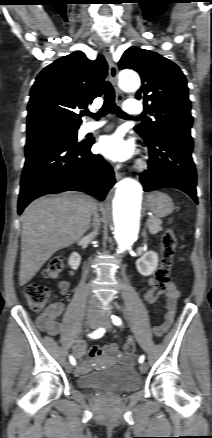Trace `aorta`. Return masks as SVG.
<instances>
[{"instance_id": "1", "label": "aorta", "mask_w": 212, "mask_h": 438, "mask_svg": "<svg viewBox=\"0 0 212 438\" xmlns=\"http://www.w3.org/2000/svg\"><path fill=\"white\" fill-rule=\"evenodd\" d=\"M119 79L125 91H136L140 86V78L135 72H121ZM142 192V186L137 180L126 178L119 182L111 200L112 233L118 243L117 254L129 250L138 238Z\"/></svg>"}]
</instances>
